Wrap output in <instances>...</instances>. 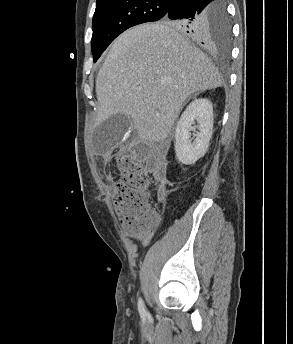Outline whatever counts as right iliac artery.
<instances>
[{"label":"right iliac artery","instance_id":"82829eb1","mask_svg":"<svg viewBox=\"0 0 293 344\" xmlns=\"http://www.w3.org/2000/svg\"><path fill=\"white\" fill-rule=\"evenodd\" d=\"M138 309H139V313L142 316H146L147 312H146V309H145V306H144L142 299H139V301H138Z\"/></svg>","mask_w":293,"mask_h":344}]
</instances>
